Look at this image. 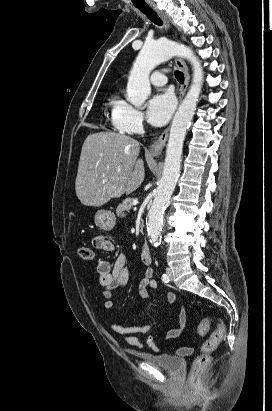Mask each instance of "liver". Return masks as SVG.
<instances>
[{
    "instance_id": "obj_1",
    "label": "liver",
    "mask_w": 272,
    "mask_h": 411,
    "mask_svg": "<svg viewBox=\"0 0 272 411\" xmlns=\"http://www.w3.org/2000/svg\"><path fill=\"white\" fill-rule=\"evenodd\" d=\"M139 153V142L129 136L113 132L89 135L82 146L75 181L81 203L100 207L111 198L135 191L145 177Z\"/></svg>"
}]
</instances>
